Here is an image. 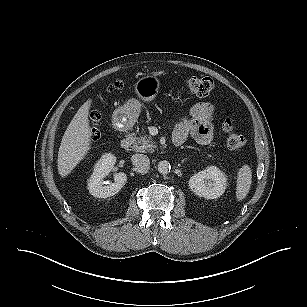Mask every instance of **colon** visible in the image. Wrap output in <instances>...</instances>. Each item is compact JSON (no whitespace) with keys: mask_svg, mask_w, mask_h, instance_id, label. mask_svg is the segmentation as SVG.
<instances>
[{"mask_svg":"<svg viewBox=\"0 0 307 307\" xmlns=\"http://www.w3.org/2000/svg\"><path fill=\"white\" fill-rule=\"evenodd\" d=\"M119 83H114L117 86ZM187 92L193 96L206 98L212 96L215 85L211 78L201 76H188L185 80ZM91 124V139L97 140L99 132L97 124L99 116L94 113L89 117ZM222 129L226 134V143L231 150L239 151L244 148L246 139L243 134L235 129L234 120L231 116L226 117L222 123Z\"/></svg>","mask_w":307,"mask_h":307,"instance_id":"obj_1","label":"colon"}]
</instances>
